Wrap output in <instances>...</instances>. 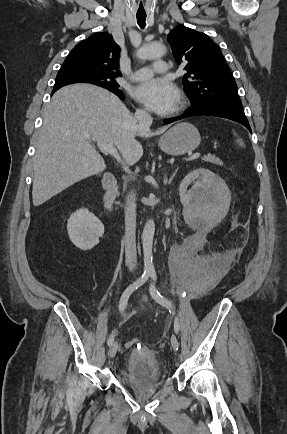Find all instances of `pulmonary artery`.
Masks as SVG:
<instances>
[{
	"label": "pulmonary artery",
	"mask_w": 287,
	"mask_h": 434,
	"mask_svg": "<svg viewBox=\"0 0 287 434\" xmlns=\"http://www.w3.org/2000/svg\"><path fill=\"white\" fill-rule=\"evenodd\" d=\"M168 65L164 61H156L153 63L152 68H141L135 71L132 75V79L135 81L146 80L152 76L153 73L166 74Z\"/></svg>",
	"instance_id": "1"
}]
</instances>
